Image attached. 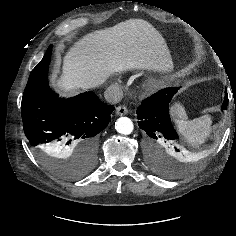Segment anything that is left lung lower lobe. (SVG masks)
I'll return each instance as SVG.
<instances>
[{
	"mask_svg": "<svg viewBox=\"0 0 236 236\" xmlns=\"http://www.w3.org/2000/svg\"><path fill=\"white\" fill-rule=\"evenodd\" d=\"M179 88L169 87L160 90L152 96L146 98L137 109V118L139 127L145 131L146 139L148 142L149 159L152 163L158 161V148L155 143H172L178 139L172 122L170 120L168 106L174 94ZM225 99L222 104L221 110L227 109L228 95L225 93ZM178 152L179 149L174 147Z\"/></svg>",
	"mask_w": 236,
	"mask_h": 236,
	"instance_id": "1",
	"label": "left lung lower lobe"
}]
</instances>
